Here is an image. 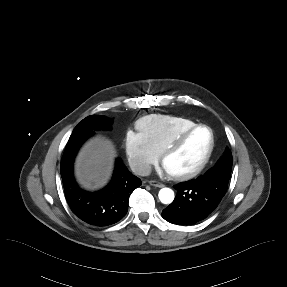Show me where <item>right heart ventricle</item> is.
<instances>
[{
    "label": "right heart ventricle",
    "mask_w": 287,
    "mask_h": 287,
    "mask_svg": "<svg viewBox=\"0 0 287 287\" xmlns=\"http://www.w3.org/2000/svg\"><path fill=\"white\" fill-rule=\"evenodd\" d=\"M196 125L184 116L151 114L141 118L137 127L154 148L161 153L165 147L182 131Z\"/></svg>",
    "instance_id": "1"
}]
</instances>
